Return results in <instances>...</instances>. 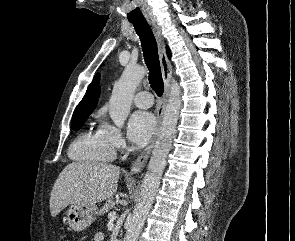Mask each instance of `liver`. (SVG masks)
<instances>
[{"instance_id": "1", "label": "liver", "mask_w": 295, "mask_h": 241, "mask_svg": "<svg viewBox=\"0 0 295 241\" xmlns=\"http://www.w3.org/2000/svg\"><path fill=\"white\" fill-rule=\"evenodd\" d=\"M120 168L112 164L73 162L57 178L50 197V212L56 217L68 205H94L117 191Z\"/></svg>"}]
</instances>
